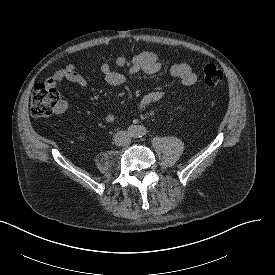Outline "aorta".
I'll list each match as a JSON object with an SVG mask.
<instances>
[{
  "instance_id": "aorta-1",
  "label": "aorta",
  "mask_w": 275,
  "mask_h": 275,
  "mask_svg": "<svg viewBox=\"0 0 275 275\" xmlns=\"http://www.w3.org/2000/svg\"><path fill=\"white\" fill-rule=\"evenodd\" d=\"M145 129L141 126H134L131 130H130V136L132 137H140L144 134Z\"/></svg>"
}]
</instances>
